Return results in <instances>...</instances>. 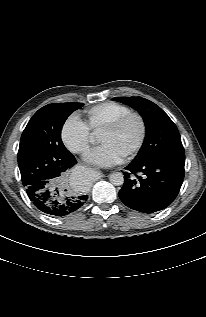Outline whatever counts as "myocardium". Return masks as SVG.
Instances as JSON below:
<instances>
[{"label": "myocardium", "mask_w": 206, "mask_h": 317, "mask_svg": "<svg viewBox=\"0 0 206 317\" xmlns=\"http://www.w3.org/2000/svg\"><path fill=\"white\" fill-rule=\"evenodd\" d=\"M137 119L140 126L139 137L136 143L130 148V150L125 154V157H131L135 155L144 145L147 137V123L144 116L136 111H130L129 113L118 117L117 119L108 123L102 130V132H114L122 128L129 120Z\"/></svg>", "instance_id": "1"}]
</instances>
